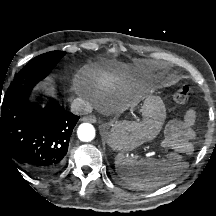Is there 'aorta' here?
Wrapping results in <instances>:
<instances>
[{
    "label": "aorta",
    "mask_w": 216,
    "mask_h": 216,
    "mask_svg": "<svg viewBox=\"0 0 216 216\" xmlns=\"http://www.w3.org/2000/svg\"><path fill=\"white\" fill-rule=\"evenodd\" d=\"M77 134L81 141L89 142L95 137V129L93 125L89 123H83L78 127Z\"/></svg>",
    "instance_id": "762f6f07"
}]
</instances>
